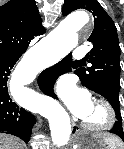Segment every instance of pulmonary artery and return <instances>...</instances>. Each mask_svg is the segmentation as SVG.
<instances>
[{"label":"pulmonary artery","instance_id":"pulmonary-artery-1","mask_svg":"<svg viewBox=\"0 0 124 149\" xmlns=\"http://www.w3.org/2000/svg\"><path fill=\"white\" fill-rule=\"evenodd\" d=\"M85 56V47L83 45H79L77 48L73 51V57L75 59H83Z\"/></svg>","mask_w":124,"mask_h":149}]
</instances>
